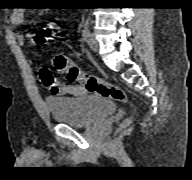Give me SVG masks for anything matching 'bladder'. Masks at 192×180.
Returning <instances> with one entry per match:
<instances>
[{
    "label": "bladder",
    "mask_w": 192,
    "mask_h": 180,
    "mask_svg": "<svg viewBox=\"0 0 192 180\" xmlns=\"http://www.w3.org/2000/svg\"><path fill=\"white\" fill-rule=\"evenodd\" d=\"M47 106L53 120L72 127H87L116 111V105L100 96L49 97Z\"/></svg>",
    "instance_id": "31cf9c89"
}]
</instances>
